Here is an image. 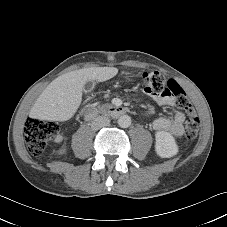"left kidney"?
<instances>
[{
	"label": "left kidney",
	"instance_id": "5707ae66",
	"mask_svg": "<svg viewBox=\"0 0 227 227\" xmlns=\"http://www.w3.org/2000/svg\"><path fill=\"white\" fill-rule=\"evenodd\" d=\"M155 150L162 158H170L178 153V146L174 137L165 131H158L155 134Z\"/></svg>",
	"mask_w": 227,
	"mask_h": 227
}]
</instances>
